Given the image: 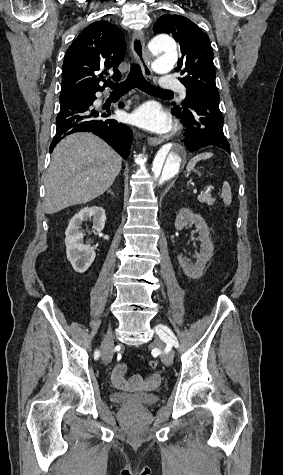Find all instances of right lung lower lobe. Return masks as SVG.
<instances>
[{
  "label": "right lung lower lobe",
  "instance_id": "obj_1",
  "mask_svg": "<svg viewBox=\"0 0 283 475\" xmlns=\"http://www.w3.org/2000/svg\"><path fill=\"white\" fill-rule=\"evenodd\" d=\"M96 99L95 92H90L60 101L56 134L51 143L50 152L67 135L75 132H91L104 139L124 159L129 156L132 142L131 129L115 119H110V110L104 113L92 108ZM123 106V103L119 104V107Z\"/></svg>",
  "mask_w": 283,
  "mask_h": 475
}]
</instances>
